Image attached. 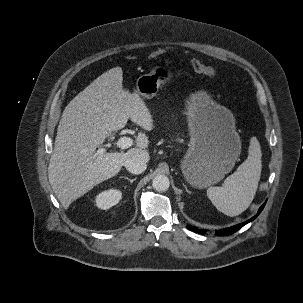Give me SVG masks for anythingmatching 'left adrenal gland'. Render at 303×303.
Masks as SVG:
<instances>
[{
  "label": "left adrenal gland",
  "instance_id": "a2214340",
  "mask_svg": "<svg viewBox=\"0 0 303 303\" xmlns=\"http://www.w3.org/2000/svg\"><path fill=\"white\" fill-rule=\"evenodd\" d=\"M183 186H184L186 192L190 194V191L187 189V186L184 183H183Z\"/></svg>",
  "mask_w": 303,
  "mask_h": 303
}]
</instances>
